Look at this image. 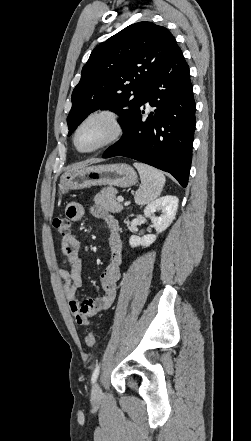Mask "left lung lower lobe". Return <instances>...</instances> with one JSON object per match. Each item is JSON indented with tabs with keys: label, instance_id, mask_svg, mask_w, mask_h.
<instances>
[{
	"label": "left lung lower lobe",
	"instance_id": "left-lung-lower-lobe-1",
	"mask_svg": "<svg viewBox=\"0 0 251 441\" xmlns=\"http://www.w3.org/2000/svg\"><path fill=\"white\" fill-rule=\"evenodd\" d=\"M156 109L145 117V103ZM195 101L189 67L177 45L146 86V97L122 138L102 158L126 156L172 174L186 187L195 131Z\"/></svg>",
	"mask_w": 251,
	"mask_h": 441
}]
</instances>
